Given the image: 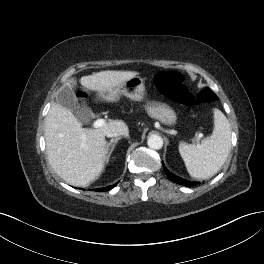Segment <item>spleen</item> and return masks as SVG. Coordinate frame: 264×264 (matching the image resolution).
I'll list each match as a JSON object with an SVG mask.
<instances>
[{
    "label": "spleen",
    "mask_w": 264,
    "mask_h": 264,
    "mask_svg": "<svg viewBox=\"0 0 264 264\" xmlns=\"http://www.w3.org/2000/svg\"><path fill=\"white\" fill-rule=\"evenodd\" d=\"M212 135L201 144H179V153L191 177L206 179L216 174L224 165L231 149V128L226 116L214 109Z\"/></svg>",
    "instance_id": "spleen-1"
}]
</instances>
